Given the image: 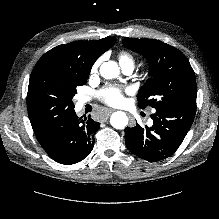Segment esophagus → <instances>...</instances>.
<instances>
[{"label":"esophagus","mask_w":219,"mask_h":219,"mask_svg":"<svg viewBox=\"0 0 219 219\" xmlns=\"http://www.w3.org/2000/svg\"><path fill=\"white\" fill-rule=\"evenodd\" d=\"M114 111H115L114 109H108V110H107V114L110 115V114H111L112 112H114Z\"/></svg>","instance_id":"obj_1"}]
</instances>
